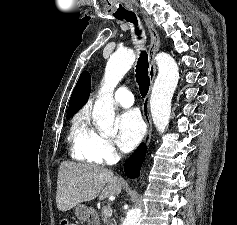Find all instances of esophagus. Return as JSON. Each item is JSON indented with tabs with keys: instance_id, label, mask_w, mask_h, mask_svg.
<instances>
[{
	"instance_id": "esophagus-1",
	"label": "esophagus",
	"mask_w": 237,
	"mask_h": 225,
	"mask_svg": "<svg viewBox=\"0 0 237 225\" xmlns=\"http://www.w3.org/2000/svg\"><path fill=\"white\" fill-rule=\"evenodd\" d=\"M144 22L146 24V27L148 29L149 36H150L149 69H148V75L150 78V87H149L148 94L143 100V104H142V114H143L144 121L146 123V132L144 135L143 143L145 145H149L150 140H151V134H152V120L150 116L149 102H150L151 90H152L153 83L156 77L155 56L160 47V37L157 30L155 29V26L152 20L148 18H144Z\"/></svg>"
}]
</instances>
